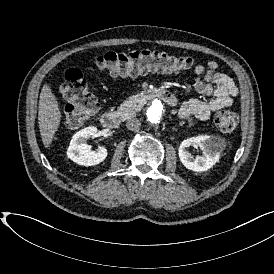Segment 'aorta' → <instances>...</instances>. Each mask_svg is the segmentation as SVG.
I'll return each instance as SVG.
<instances>
[{
  "instance_id": "1",
  "label": "aorta",
  "mask_w": 274,
  "mask_h": 274,
  "mask_svg": "<svg viewBox=\"0 0 274 274\" xmlns=\"http://www.w3.org/2000/svg\"><path fill=\"white\" fill-rule=\"evenodd\" d=\"M147 120L153 126L161 125L166 120V109L160 100H154L147 109Z\"/></svg>"
}]
</instances>
